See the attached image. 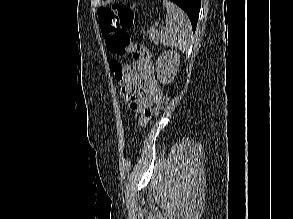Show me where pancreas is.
I'll return each mask as SVG.
<instances>
[{
  "instance_id": "1",
  "label": "pancreas",
  "mask_w": 293,
  "mask_h": 219,
  "mask_svg": "<svg viewBox=\"0 0 293 219\" xmlns=\"http://www.w3.org/2000/svg\"><path fill=\"white\" fill-rule=\"evenodd\" d=\"M158 38H159V34L157 31L155 30H150L149 31V39L154 42L155 44L158 43Z\"/></svg>"
}]
</instances>
